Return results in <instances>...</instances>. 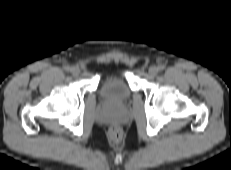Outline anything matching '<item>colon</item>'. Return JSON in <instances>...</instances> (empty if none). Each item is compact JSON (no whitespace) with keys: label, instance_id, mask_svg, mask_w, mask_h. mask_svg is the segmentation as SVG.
<instances>
[{"label":"colon","instance_id":"obj_1","mask_svg":"<svg viewBox=\"0 0 231 170\" xmlns=\"http://www.w3.org/2000/svg\"><path fill=\"white\" fill-rule=\"evenodd\" d=\"M109 135L114 140H119L121 138L122 132L118 127H112L109 131Z\"/></svg>","mask_w":231,"mask_h":170}]
</instances>
